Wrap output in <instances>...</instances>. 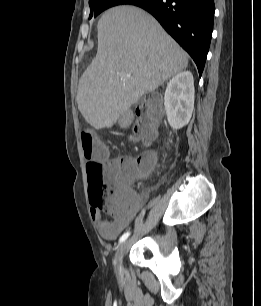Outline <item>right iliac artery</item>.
Segmentation results:
<instances>
[{"mask_svg": "<svg viewBox=\"0 0 261 306\" xmlns=\"http://www.w3.org/2000/svg\"><path fill=\"white\" fill-rule=\"evenodd\" d=\"M129 235H130V232L124 233V234L120 237L119 243L124 242V241L128 238Z\"/></svg>", "mask_w": 261, "mask_h": 306, "instance_id": "right-iliac-artery-1", "label": "right iliac artery"}]
</instances>
